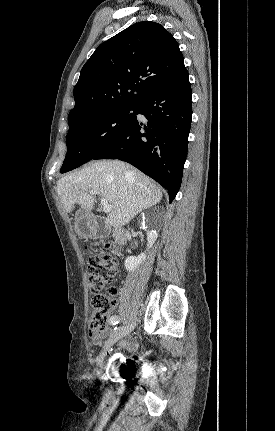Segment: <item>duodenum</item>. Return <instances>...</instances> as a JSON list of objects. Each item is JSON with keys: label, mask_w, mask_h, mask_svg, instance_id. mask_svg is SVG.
Here are the masks:
<instances>
[{"label": "duodenum", "mask_w": 275, "mask_h": 431, "mask_svg": "<svg viewBox=\"0 0 275 431\" xmlns=\"http://www.w3.org/2000/svg\"><path fill=\"white\" fill-rule=\"evenodd\" d=\"M89 234L92 237H99L102 235V229L96 219L92 220L89 226ZM112 234L115 243L118 247L123 246L127 241L126 231L122 228H112Z\"/></svg>", "instance_id": "obj_1"}]
</instances>
